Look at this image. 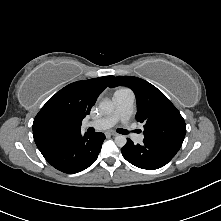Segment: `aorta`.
<instances>
[{"instance_id": "aorta-1", "label": "aorta", "mask_w": 221, "mask_h": 221, "mask_svg": "<svg viewBox=\"0 0 221 221\" xmlns=\"http://www.w3.org/2000/svg\"><path fill=\"white\" fill-rule=\"evenodd\" d=\"M99 109L103 114H111L114 111V104L110 100H103L99 103ZM126 143V136L118 135L115 137V144L118 147H124Z\"/></svg>"}]
</instances>
